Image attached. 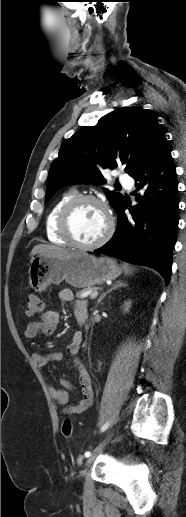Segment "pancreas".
I'll list each match as a JSON object with an SVG mask.
<instances>
[{"label": "pancreas", "instance_id": "1", "mask_svg": "<svg viewBox=\"0 0 186 517\" xmlns=\"http://www.w3.org/2000/svg\"><path fill=\"white\" fill-rule=\"evenodd\" d=\"M97 291V288L96 287H87V288H84L80 291H78L76 293V297L78 298H81V297H87L88 295L91 296L93 292ZM88 293V294H87ZM83 294H86V295H83Z\"/></svg>", "mask_w": 186, "mask_h": 517}]
</instances>
